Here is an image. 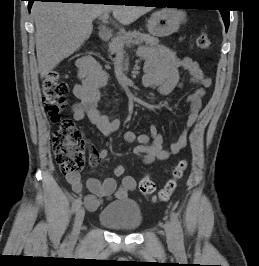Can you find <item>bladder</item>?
I'll return each mask as SVG.
<instances>
[{
	"label": "bladder",
	"instance_id": "obj_1",
	"mask_svg": "<svg viewBox=\"0 0 259 266\" xmlns=\"http://www.w3.org/2000/svg\"><path fill=\"white\" fill-rule=\"evenodd\" d=\"M99 221L112 230L134 232L142 224V212L135 201L113 202L100 212Z\"/></svg>",
	"mask_w": 259,
	"mask_h": 266
}]
</instances>
